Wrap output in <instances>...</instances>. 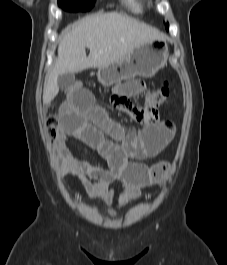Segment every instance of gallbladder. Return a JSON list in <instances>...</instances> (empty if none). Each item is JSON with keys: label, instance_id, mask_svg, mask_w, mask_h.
Masks as SVG:
<instances>
[{"label": "gallbladder", "instance_id": "gallbladder-1", "mask_svg": "<svg viewBox=\"0 0 227 265\" xmlns=\"http://www.w3.org/2000/svg\"><path fill=\"white\" fill-rule=\"evenodd\" d=\"M75 82V75L73 73H65L58 76V87L61 90L69 89Z\"/></svg>", "mask_w": 227, "mask_h": 265}]
</instances>
